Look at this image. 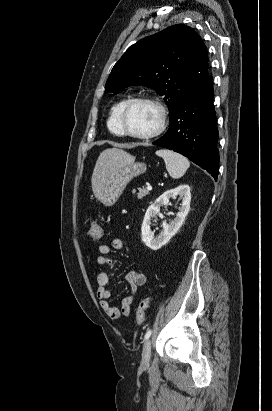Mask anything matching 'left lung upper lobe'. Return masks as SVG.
<instances>
[{"label": "left lung upper lobe", "instance_id": "1", "mask_svg": "<svg viewBox=\"0 0 272 411\" xmlns=\"http://www.w3.org/2000/svg\"><path fill=\"white\" fill-rule=\"evenodd\" d=\"M207 48L190 27L173 25L130 46L114 65L105 89L142 85L164 96L171 117L209 76Z\"/></svg>", "mask_w": 272, "mask_h": 411}]
</instances>
